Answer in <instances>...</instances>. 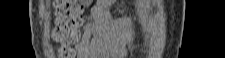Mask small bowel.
Here are the masks:
<instances>
[{"instance_id":"c3829d8e","label":"small bowel","mask_w":225,"mask_h":58,"mask_svg":"<svg viewBox=\"0 0 225 58\" xmlns=\"http://www.w3.org/2000/svg\"><path fill=\"white\" fill-rule=\"evenodd\" d=\"M115 0H97L90 17L83 27L80 42L75 46L78 58H92L95 55H110L121 52L110 37L122 24L121 19L112 18L107 9ZM93 36V38H92Z\"/></svg>"}]
</instances>
